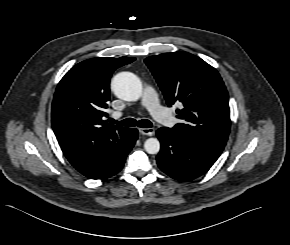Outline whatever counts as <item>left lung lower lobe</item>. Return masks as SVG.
I'll return each instance as SVG.
<instances>
[{
  "instance_id": "obj_1",
  "label": "left lung lower lobe",
  "mask_w": 290,
  "mask_h": 245,
  "mask_svg": "<svg viewBox=\"0 0 290 245\" xmlns=\"http://www.w3.org/2000/svg\"><path fill=\"white\" fill-rule=\"evenodd\" d=\"M156 133L162 144L157 164L163 172L180 181H190L206 173L222 152L182 138L167 127Z\"/></svg>"
}]
</instances>
